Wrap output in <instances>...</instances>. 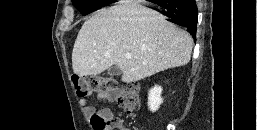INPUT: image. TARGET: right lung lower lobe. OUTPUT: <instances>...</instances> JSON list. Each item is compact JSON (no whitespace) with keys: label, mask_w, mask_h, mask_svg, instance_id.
<instances>
[{"label":"right lung lower lobe","mask_w":257,"mask_h":130,"mask_svg":"<svg viewBox=\"0 0 257 130\" xmlns=\"http://www.w3.org/2000/svg\"><path fill=\"white\" fill-rule=\"evenodd\" d=\"M158 4L164 9L163 15L168 21L186 27L196 37L198 10L195 0L160 1Z\"/></svg>","instance_id":"1"}]
</instances>
